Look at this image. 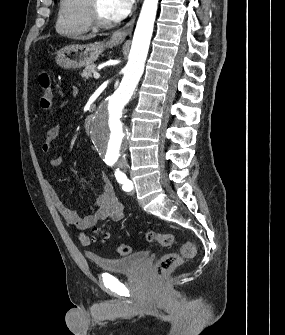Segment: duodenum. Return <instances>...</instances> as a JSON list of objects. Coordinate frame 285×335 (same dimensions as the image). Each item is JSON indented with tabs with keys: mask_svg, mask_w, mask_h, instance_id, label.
I'll return each mask as SVG.
<instances>
[{
	"mask_svg": "<svg viewBox=\"0 0 285 335\" xmlns=\"http://www.w3.org/2000/svg\"><path fill=\"white\" fill-rule=\"evenodd\" d=\"M91 122H92V116H87L85 121H84V127L87 131L90 130V126H91Z\"/></svg>",
	"mask_w": 285,
	"mask_h": 335,
	"instance_id": "410a0bca",
	"label": "duodenum"
}]
</instances>
